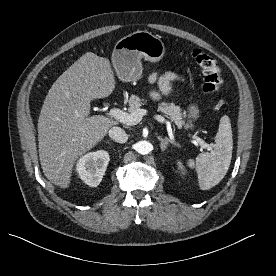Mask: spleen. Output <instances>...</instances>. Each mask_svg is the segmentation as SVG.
Instances as JSON below:
<instances>
[{
    "label": "spleen",
    "instance_id": "1",
    "mask_svg": "<svg viewBox=\"0 0 276 276\" xmlns=\"http://www.w3.org/2000/svg\"><path fill=\"white\" fill-rule=\"evenodd\" d=\"M232 149L230 118L223 116L215 136L214 150L210 153H200L195 161L189 159L187 162L190 168L196 169L199 187L202 190L216 186L225 177L231 163Z\"/></svg>",
    "mask_w": 276,
    "mask_h": 276
}]
</instances>
